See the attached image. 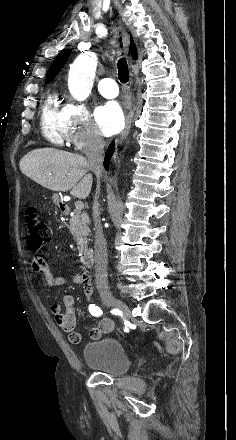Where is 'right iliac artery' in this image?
Returning <instances> with one entry per match:
<instances>
[{"instance_id": "right-iliac-artery-1", "label": "right iliac artery", "mask_w": 236, "mask_h": 440, "mask_svg": "<svg viewBox=\"0 0 236 440\" xmlns=\"http://www.w3.org/2000/svg\"><path fill=\"white\" fill-rule=\"evenodd\" d=\"M89 312L95 317H99L103 314L102 310L95 304L89 305Z\"/></svg>"}]
</instances>
